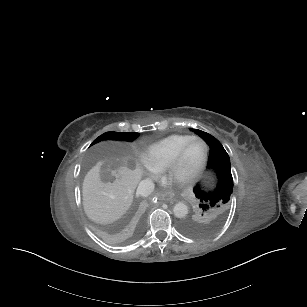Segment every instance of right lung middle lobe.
Wrapping results in <instances>:
<instances>
[{
  "instance_id": "1",
  "label": "right lung middle lobe",
  "mask_w": 307,
  "mask_h": 307,
  "mask_svg": "<svg viewBox=\"0 0 307 307\" xmlns=\"http://www.w3.org/2000/svg\"><path fill=\"white\" fill-rule=\"evenodd\" d=\"M139 136V133H123V132H106L96 138L93 143H98L101 140H121V141H133Z\"/></svg>"
}]
</instances>
